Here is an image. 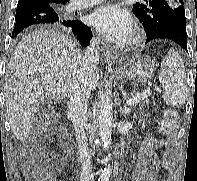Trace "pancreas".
Returning <instances> with one entry per match:
<instances>
[{
  "mask_svg": "<svg viewBox=\"0 0 197 181\" xmlns=\"http://www.w3.org/2000/svg\"><path fill=\"white\" fill-rule=\"evenodd\" d=\"M128 98H129V96H127ZM130 98L132 99V98H135V96L133 95V94H131V96H130ZM140 103V106H148V104H149V101L148 100H146V101H140L139 102Z\"/></svg>",
  "mask_w": 197,
  "mask_h": 181,
  "instance_id": "1",
  "label": "pancreas"
}]
</instances>
